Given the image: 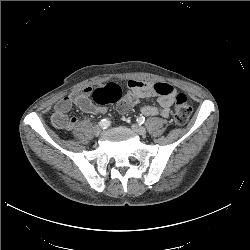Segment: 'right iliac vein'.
I'll list each match as a JSON object with an SVG mask.
<instances>
[{
    "instance_id": "63e3f726",
    "label": "right iliac vein",
    "mask_w": 250,
    "mask_h": 250,
    "mask_svg": "<svg viewBox=\"0 0 250 250\" xmlns=\"http://www.w3.org/2000/svg\"><path fill=\"white\" fill-rule=\"evenodd\" d=\"M101 130H102V128H101V126H99V125H96V126H94V128H93V132H94V134H95L96 136H98V135L101 133Z\"/></svg>"
}]
</instances>
